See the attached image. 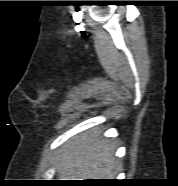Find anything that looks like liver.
<instances>
[{"mask_svg": "<svg viewBox=\"0 0 178 186\" xmlns=\"http://www.w3.org/2000/svg\"><path fill=\"white\" fill-rule=\"evenodd\" d=\"M114 145L94 130L65 143L56 162L60 180L113 179L119 167Z\"/></svg>", "mask_w": 178, "mask_h": 186, "instance_id": "liver-1", "label": "liver"}]
</instances>
